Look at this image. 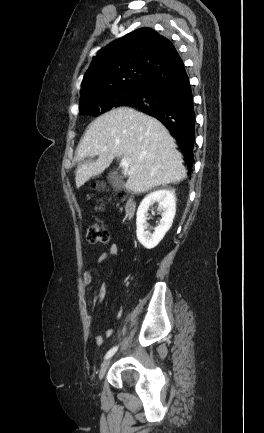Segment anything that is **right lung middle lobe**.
<instances>
[{
	"label": "right lung middle lobe",
	"mask_w": 264,
	"mask_h": 433,
	"mask_svg": "<svg viewBox=\"0 0 264 433\" xmlns=\"http://www.w3.org/2000/svg\"><path fill=\"white\" fill-rule=\"evenodd\" d=\"M140 85L125 86L107 94L80 100L79 111L84 115L99 116L100 114L118 106L132 97L140 90Z\"/></svg>",
	"instance_id": "right-lung-middle-lobe-1"
}]
</instances>
